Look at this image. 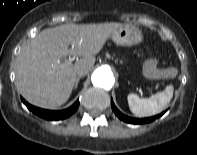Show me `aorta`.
I'll list each match as a JSON object with an SVG mask.
<instances>
[{
	"label": "aorta",
	"mask_w": 197,
	"mask_h": 155,
	"mask_svg": "<svg viewBox=\"0 0 197 155\" xmlns=\"http://www.w3.org/2000/svg\"><path fill=\"white\" fill-rule=\"evenodd\" d=\"M92 83L96 87L106 90L111 89L114 83V77L110 68L102 66L96 69L92 75Z\"/></svg>",
	"instance_id": "762f6f07"
}]
</instances>
